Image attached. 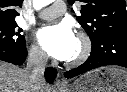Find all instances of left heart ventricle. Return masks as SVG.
<instances>
[{"label":"left heart ventricle","instance_id":"obj_1","mask_svg":"<svg viewBox=\"0 0 127 92\" xmlns=\"http://www.w3.org/2000/svg\"><path fill=\"white\" fill-rule=\"evenodd\" d=\"M79 49H80V45H79L78 41H76L75 51H74L73 55L70 57V59L75 57L78 54Z\"/></svg>","mask_w":127,"mask_h":92}]
</instances>
